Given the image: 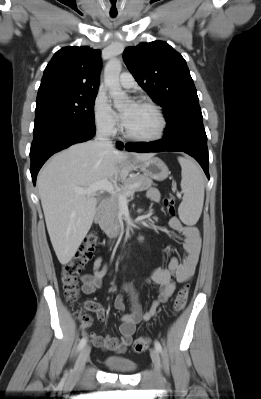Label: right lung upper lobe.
I'll return each mask as SVG.
<instances>
[{
  "mask_svg": "<svg viewBox=\"0 0 261 399\" xmlns=\"http://www.w3.org/2000/svg\"><path fill=\"white\" fill-rule=\"evenodd\" d=\"M100 54L98 49L76 46L57 51L44 70L37 97L59 93L97 94Z\"/></svg>",
  "mask_w": 261,
  "mask_h": 399,
  "instance_id": "right-lung-upper-lobe-1",
  "label": "right lung upper lobe"
}]
</instances>
